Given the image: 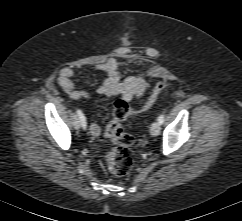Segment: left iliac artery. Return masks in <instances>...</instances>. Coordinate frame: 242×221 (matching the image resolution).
Here are the masks:
<instances>
[{
	"mask_svg": "<svg viewBox=\"0 0 242 221\" xmlns=\"http://www.w3.org/2000/svg\"><path fill=\"white\" fill-rule=\"evenodd\" d=\"M164 114H161L159 117H158V122L160 123V124H162L163 122H164Z\"/></svg>",
	"mask_w": 242,
	"mask_h": 221,
	"instance_id": "left-iliac-artery-1",
	"label": "left iliac artery"
}]
</instances>
